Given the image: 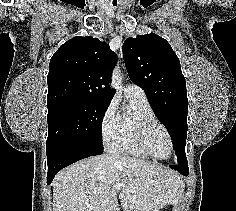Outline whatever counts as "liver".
I'll return each mask as SVG.
<instances>
[{"mask_svg":"<svg viewBox=\"0 0 236 211\" xmlns=\"http://www.w3.org/2000/svg\"><path fill=\"white\" fill-rule=\"evenodd\" d=\"M122 184L121 190L112 187ZM183 186L173 171L138 158L103 154L81 160L54 178L55 211H160Z\"/></svg>","mask_w":236,"mask_h":211,"instance_id":"6515ba94","label":"liver"}]
</instances>
